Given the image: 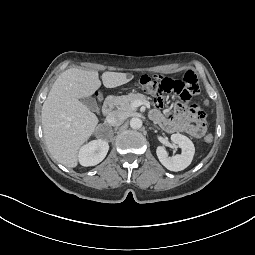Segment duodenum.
<instances>
[{
  "label": "duodenum",
  "instance_id": "410a0bca",
  "mask_svg": "<svg viewBox=\"0 0 255 255\" xmlns=\"http://www.w3.org/2000/svg\"><path fill=\"white\" fill-rule=\"evenodd\" d=\"M115 96H108L102 106V112L105 116H108L112 113L114 107H115Z\"/></svg>",
  "mask_w": 255,
  "mask_h": 255
}]
</instances>
